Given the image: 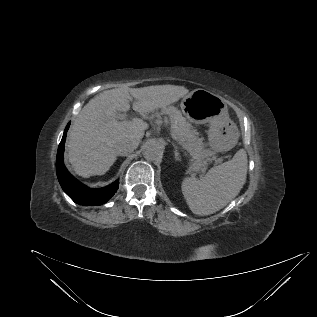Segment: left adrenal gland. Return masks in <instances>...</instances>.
<instances>
[{
    "instance_id": "obj_1",
    "label": "left adrenal gland",
    "mask_w": 317,
    "mask_h": 317,
    "mask_svg": "<svg viewBox=\"0 0 317 317\" xmlns=\"http://www.w3.org/2000/svg\"><path fill=\"white\" fill-rule=\"evenodd\" d=\"M173 147H174V155H175V159L176 160H180V156H179V152H178V149H177V146L175 143H172Z\"/></svg>"
}]
</instances>
